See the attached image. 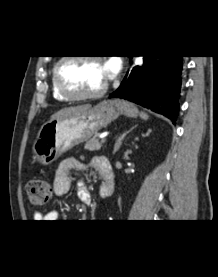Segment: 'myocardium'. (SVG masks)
I'll return each instance as SVG.
<instances>
[{
	"label": "myocardium",
	"mask_w": 218,
	"mask_h": 277,
	"mask_svg": "<svg viewBox=\"0 0 218 277\" xmlns=\"http://www.w3.org/2000/svg\"><path fill=\"white\" fill-rule=\"evenodd\" d=\"M92 60V61H97V62H102V58L98 56H79V57H70V56H65L60 58L59 61L56 62L53 68V78L54 82L56 85V88L58 92L65 97L68 100H86V99H92V98H97L102 96L108 89V81L105 82V84L92 92H87V93H75L70 91L64 84L61 73H60V68L63 62L68 61V60Z\"/></svg>",
	"instance_id": "1"
}]
</instances>
